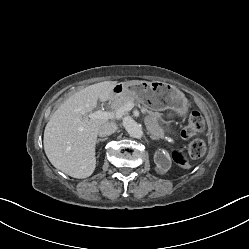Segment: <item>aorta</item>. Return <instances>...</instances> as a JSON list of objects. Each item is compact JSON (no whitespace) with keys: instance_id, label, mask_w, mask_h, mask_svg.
Returning <instances> with one entry per match:
<instances>
[{"instance_id":"obj_1","label":"aorta","mask_w":249,"mask_h":249,"mask_svg":"<svg viewBox=\"0 0 249 249\" xmlns=\"http://www.w3.org/2000/svg\"><path fill=\"white\" fill-rule=\"evenodd\" d=\"M124 127L128 134L134 138H141L143 136V131L141 127L132 118L127 117L124 119Z\"/></svg>"}]
</instances>
